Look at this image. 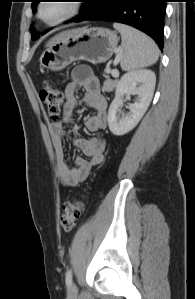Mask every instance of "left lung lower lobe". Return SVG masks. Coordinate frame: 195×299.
<instances>
[{
	"instance_id": "obj_1",
	"label": "left lung lower lobe",
	"mask_w": 195,
	"mask_h": 299,
	"mask_svg": "<svg viewBox=\"0 0 195 299\" xmlns=\"http://www.w3.org/2000/svg\"><path fill=\"white\" fill-rule=\"evenodd\" d=\"M167 0H89L75 22L112 21L133 26L149 35L162 50Z\"/></svg>"
}]
</instances>
